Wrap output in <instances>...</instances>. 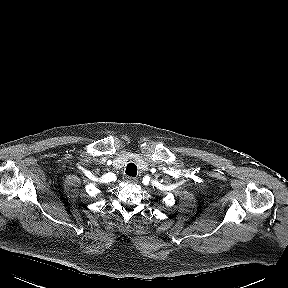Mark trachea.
<instances>
[{
	"label": "trachea",
	"mask_w": 288,
	"mask_h": 288,
	"mask_svg": "<svg viewBox=\"0 0 288 288\" xmlns=\"http://www.w3.org/2000/svg\"><path fill=\"white\" fill-rule=\"evenodd\" d=\"M125 173L129 176L135 177L137 175V166L134 163L127 164Z\"/></svg>",
	"instance_id": "3493384b"
}]
</instances>
